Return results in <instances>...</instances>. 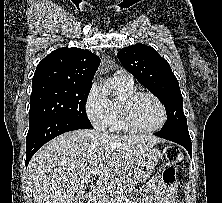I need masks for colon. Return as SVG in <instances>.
Instances as JSON below:
<instances>
[{"instance_id": "obj_1", "label": "colon", "mask_w": 222, "mask_h": 203, "mask_svg": "<svg viewBox=\"0 0 222 203\" xmlns=\"http://www.w3.org/2000/svg\"><path fill=\"white\" fill-rule=\"evenodd\" d=\"M184 155L180 149L174 145L166 146L162 154V162L164 170L162 180L166 184L175 183L176 168L183 163Z\"/></svg>"}]
</instances>
